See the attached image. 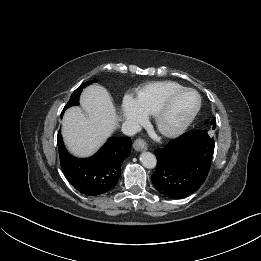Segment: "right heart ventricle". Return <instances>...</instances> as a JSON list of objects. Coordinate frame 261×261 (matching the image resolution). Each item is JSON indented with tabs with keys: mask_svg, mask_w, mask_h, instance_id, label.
<instances>
[{
	"mask_svg": "<svg viewBox=\"0 0 261 261\" xmlns=\"http://www.w3.org/2000/svg\"><path fill=\"white\" fill-rule=\"evenodd\" d=\"M181 88L184 87L170 80L150 82L137 90L135 101L145 115H154L163 101Z\"/></svg>",
	"mask_w": 261,
	"mask_h": 261,
	"instance_id": "right-heart-ventricle-1",
	"label": "right heart ventricle"
}]
</instances>
